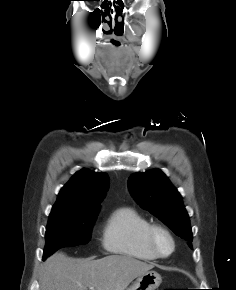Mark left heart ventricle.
Returning <instances> with one entry per match:
<instances>
[{
	"label": "left heart ventricle",
	"mask_w": 236,
	"mask_h": 290,
	"mask_svg": "<svg viewBox=\"0 0 236 290\" xmlns=\"http://www.w3.org/2000/svg\"><path fill=\"white\" fill-rule=\"evenodd\" d=\"M159 246L163 252H168L170 250V243L165 237L159 238Z\"/></svg>",
	"instance_id": "1"
}]
</instances>
